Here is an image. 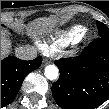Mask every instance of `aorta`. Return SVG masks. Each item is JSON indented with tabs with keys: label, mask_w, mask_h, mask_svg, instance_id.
<instances>
[{
	"label": "aorta",
	"mask_w": 109,
	"mask_h": 109,
	"mask_svg": "<svg viewBox=\"0 0 109 109\" xmlns=\"http://www.w3.org/2000/svg\"><path fill=\"white\" fill-rule=\"evenodd\" d=\"M44 74L47 77V79L55 80L58 77L59 70L55 65H48L45 68Z\"/></svg>",
	"instance_id": "aorta-1"
}]
</instances>
